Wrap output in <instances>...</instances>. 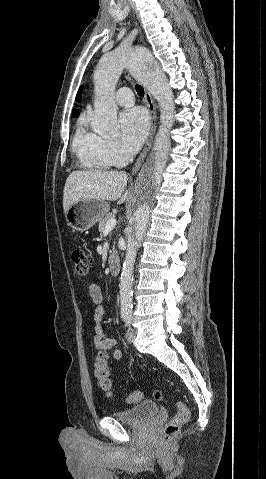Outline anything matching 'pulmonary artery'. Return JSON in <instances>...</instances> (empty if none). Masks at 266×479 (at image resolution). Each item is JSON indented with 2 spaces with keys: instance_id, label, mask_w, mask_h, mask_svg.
<instances>
[{
  "instance_id": "1",
  "label": "pulmonary artery",
  "mask_w": 266,
  "mask_h": 479,
  "mask_svg": "<svg viewBox=\"0 0 266 479\" xmlns=\"http://www.w3.org/2000/svg\"><path fill=\"white\" fill-rule=\"evenodd\" d=\"M116 102L120 106L129 107L134 103L133 92L129 87H122L116 94Z\"/></svg>"
}]
</instances>
